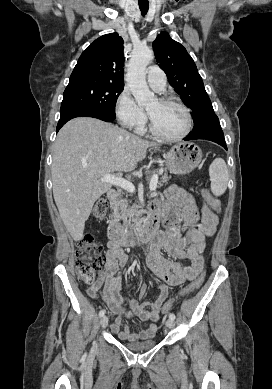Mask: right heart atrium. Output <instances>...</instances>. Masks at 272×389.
<instances>
[{"instance_id":"obj_1","label":"right heart atrium","mask_w":272,"mask_h":389,"mask_svg":"<svg viewBox=\"0 0 272 389\" xmlns=\"http://www.w3.org/2000/svg\"><path fill=\"white\" fill-rule=\"evenodd\" d=\"M116 116L122 126L139 130L147 121L145 111L138 106L131 93L124 89L115 103Z\"/></svg>"}]
</instances>
